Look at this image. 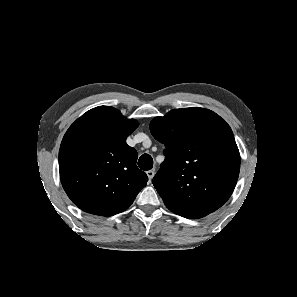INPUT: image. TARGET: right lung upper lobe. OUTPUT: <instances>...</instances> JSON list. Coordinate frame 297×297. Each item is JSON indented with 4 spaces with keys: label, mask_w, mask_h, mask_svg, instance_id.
Wrapping results in <instances>:
<instances>
[{
    "label": "right lung upper lobe",
    "mask_w": 297,
    "mask_h": 297,
    "mask_svg": "<svg viewBox=\"0 0 297 297\" xmlns=\"http://www.w3.org/2000/svg\"><path fill=\"white\" fill-rule=\"evenodd\" d=\"M138 122L110 106H99L67 130L59 150L62 186L85 212L109 217L126 210L146 186L137 151L126 138Z\"/></svg>",
    "instance_id": "cb5924a9"
}]
</instances>
